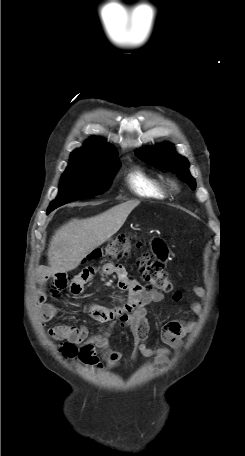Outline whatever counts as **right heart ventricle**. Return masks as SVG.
<instances>
[{"mask_svg":"<svg viewBox=\"0 0 245 456\" xmlns=\"http://www.w3.org/2000/svg\"><path fill=\"white\" fill-rule=\"evenodd\" d=\"M126 182L135 194L142 197L163 199L169 193L165 183L140 169L130 171L126 176Z\"/></svg>","mask_w":245,"mask_h":456,"instance_id":"obj_1","label":"right heart ventricle"}]
</instances>
